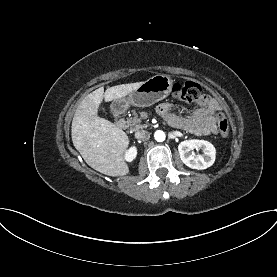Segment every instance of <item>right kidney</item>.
I'll return each instance as SVG.
<instances>
[{
  "label": "right kidney",
  "mask_w": 277,
  "mask_h": 277,
  "mask_svg": "<svg viewBox=\"0 0 277 277\" xmlns=\"http://www.w3.org/2000/svg\"><path fill=\"white\" fill-rule=\"evenodd\" d=\"M137 155V148L135 146H132L129 148V150L125 153V160L128 162L133 161L136 158Z\"/></svg>",
  "instance_id": "obj_1"
}]
</instances>
